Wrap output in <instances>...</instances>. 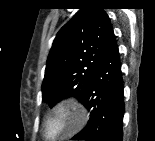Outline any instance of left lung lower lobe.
Here are the masks:
<instances>
[{
  "mask_svg": "<svg viewBox=\"0 0 155 141\" xmlns=\"http://www.w3.org/2000/svg\"><path fill=\"white\" fill-rule=\"evenodd\" d=\"M124 86L116 38L106 47L83 96L89 122L73 140L122 141Z\"/></svg>",
  "mask_w": 155,
  "mask_h": 141,
  "instance_id": "0a47b994",
  "label": "left lung lower lobe"
}]
</instances>
